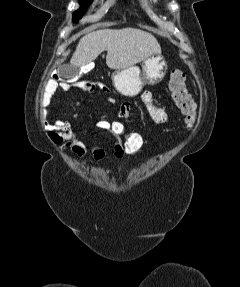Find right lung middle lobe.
I'll use <instances>...</instances> for the list:
<instances>
[{
    "label": "right lung middle lobe",
    "instance_id": "dd1d6c3e",
    "mask_svg": "<svg viewBox=\"0 0 240 287\" xmlns=\"http://www.w3.org/2000/svg\"><path fill=\"white\" fill-rule=\"evenodd\" d=\"M92 0H79L80 4L83 6H86L91 3ZM84 10L81 8L80 10L74 12L73 14V21H76L80 19L84 15Z\"/></svg>",
    "mask_w": 240,
    "mask_h": 287
}]
</instances>
